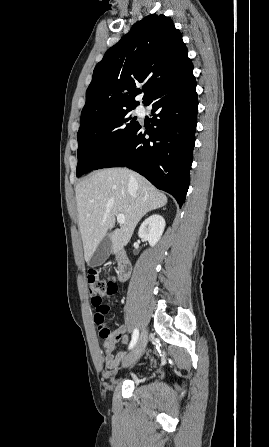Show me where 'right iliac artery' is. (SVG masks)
I'll return each instance as SVG.
<instances>
[{
	"instance_id": "82829eb1",
	"label": "right iliac artery",
	"mask_w": 269,
	"mask_h": 447,
	"mask_svg": "<svg viewBox=\"0 0 269 447\" xmlns=\"http://www.w3.org/2000/svg\"><path fill=\"white\" fill-rule=\"evenodd\" d=\"M138 337H139V331H138V329H134L133 335H132V340H131V343L129 345V349L134 347V345L136 344V342L138 340Z\"/></svg>"
}]
</instances>
